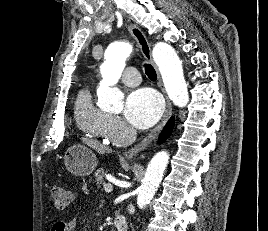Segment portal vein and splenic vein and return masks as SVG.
Here are the masks:
<instances>
[{
  "label": "portal vein and splenic vein",
  "mask_w": 268,
  "mask_h": 231,
  "mask_svg": "<svg viewBox=\"0 0 268 231\" xmlns=\"http://www.w3.org/2000/svg\"><path fill=\"white\" fill-rule=\"evenodd\" d=\"M104 190H105L106 193H110V192H112V191H113V186H112V184H110V183L105 184V185H104Z\"/></svg>",
  "instance_id": "portal-vein-and-splenic-vein-1"
}]
</instances>
